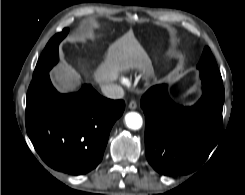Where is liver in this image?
Returning <instances> with one entry per match:
<instances>
[{
    "label": "liver",
    "instance_id": "1",
    "mask_svg": "<svg viewBox=\"0 0 245 195\" xmlns=\"http://www.w3.org/2000/svg\"><path fill=\"white\" fill-rule=\"evenodd\" d=\"M129 68L151 73L150 59L131 30L110 45L105 61L96 70L95 80L100 84H110L118 79L120 72ZM51 75L61 92L74 90L78 85L79 75L64 60L53 69Z\"/></svg>",
    "mask_w": 245,
    "mask_h": 195
}]
</instances>
